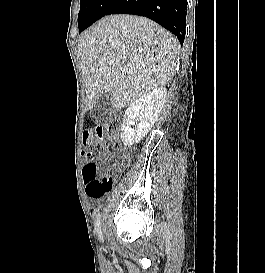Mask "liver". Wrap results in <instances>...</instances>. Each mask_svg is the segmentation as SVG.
<instances>
[{
	"label": "liver",
	"mask_w": 265,
	"mask_h": 273,
	"mask_svg": "<svg viewBox=\"0 0 265 273\" xmlns=\"http://www.w3.org/2000/svg\"><path fill=\"white\" fill-rule=\"evenodd\" d=\"M179 49L176 37L150 19L124 14L101 19L78 45L86 109L103 93H110L113 106L122 109L165 86L174 75Z\"/></svg>",
	"instance_id": "liver-1"
}]
</instances>
